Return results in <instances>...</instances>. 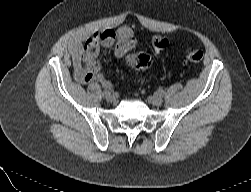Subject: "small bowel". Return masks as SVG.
<instances>
[{"instance_id": "1", "label": "small bowel", "mask_w": 251, "mask_h": 192, "mask_svg": "<svg viewBox=\"0 0 251 192\" xmlns=\"http://www.w3.org/2000/svg\"><path fill=\"white\" fill-rule=\"evenodd\" d=\"M135 41L129 28L123 27L116 32L105 29L94 33L83 45L74 43L72 46V57L74 66V77L82 83L99 81L105 88L111 84L100 71L97 54L100 47H111L116 57L122 58L134 47Z\"/></svg>"}]
</instances>
